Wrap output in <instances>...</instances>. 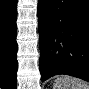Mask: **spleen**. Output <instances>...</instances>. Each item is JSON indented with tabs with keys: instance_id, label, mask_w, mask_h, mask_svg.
Returning <instances> with one entry per match:
<instances>
[{
	"instance_id": "spleen-1",
	"label": "spleen",
	"mask_w": 89,
	"mask_h": 89,
	"mask_svg": "<svg viewBox=\"0 0 89 89\" xmlns=\"http://www.w3.org/2000/svg\"><path fill=\"white\" fill-rule=\"evenodd\" d=\"M53 89H89V84L75 77L61 75L55 79Z\"/></svg>"
}]
</instances>
